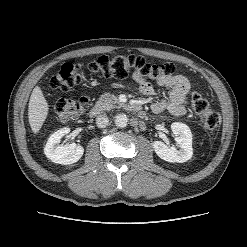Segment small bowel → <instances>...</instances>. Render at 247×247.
<instances>
[{
  "instance_id": "small-bowel-1",
  "label": "small bowel",
  "mask_w": 247,
  "mask_h": 247,
  "mask_svg": "<svg viewBox=\"0 0 247 247\" xmlns=\"http://www.w3.org/2000/svg\"><path fill=\"white\" fill-rule=\"evenodd\" d=\"M133 79L139 84L140 92L151 96L155 90L151 83L138 73L133 74ZM159 86L169 90L167 99H161L152 104L151 109L154 113H161L165 110L171 114L180 116L186 111V101L191 90L189 80L180 74H167L157 80Z\"/></svg>"
}]
</instances>
